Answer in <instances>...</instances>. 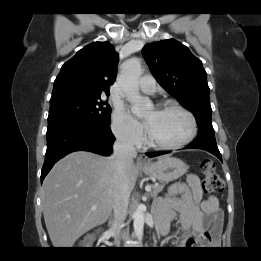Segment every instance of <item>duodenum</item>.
I'll return each instance as SVG.
<instances>
[{
  "mask_svg": "<svg viewBox=\"0 0 261 261\" xmlns=\"http://www.w3.org/2000/svg\"><path fill=\"white\" fill-rule=\"evenodd\" d=\"M115 232H116V229H115V228H112V229H111V232H105L103 235H104V236L111 237Z\"/></svg>",
  "mask_w": 261,
  "mask_h": 261,
  "instance_id": "duodenum-1",
  "label": "duodenum"
}]
</instances>
